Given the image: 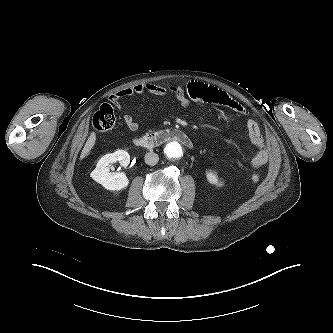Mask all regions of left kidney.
<instances>
[{
  "instance_id": "left-kidney-1",
  "label": "left kidney",
  "mask_w": 333,
  "mask_h": 333,
  "mask_svg": "<svg viewBox=\"0 0 333 333\" xmlns=\"http://www.w3.org/2000/svg\"><path fill=\"white\" fill-rule=\"evenodd\" d=\"M206 178L210 184L216 185L217 187L223 186V182L219 181L217 174L213 171L206 172Z\"/></svg>"
}]
</instances>
